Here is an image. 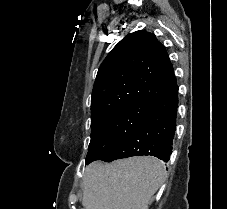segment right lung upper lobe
I'll return each instance as SVG.
<instances>
[{"instance_id":"1","label":"right lung upper lobe","mask_w":227,"mask_h":209,"mask_svg":"<svg viewBox=\"0 0 227 209\" xmlns=\"http://www.w3.org/2000/svg\"><path fill=\"white\" fill-rule=\"evenodd\" d=\"M172 66L166 48L152 33L136 31L124 37L102 62L93 87L91 117L103 102L127 98L150 104L175 88L167 70Z\"/></svg>"}]
</instances>
